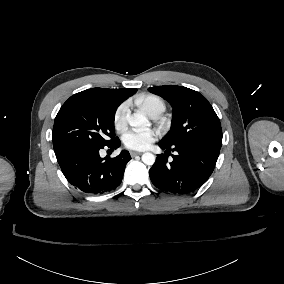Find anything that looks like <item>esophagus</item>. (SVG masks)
<instances>
[{"label":"esophagus","mask_w":284,"mask_h":284,"mask_svg":"<svg viewBox=\"0 0 284 284\" xmlns=\"http://www.w3.org/2000/svg\"><path fill=\"white\" fill-rule=\"evenodd\" d=\"M141 154H143V152H138V151H131V152H130V155H131L132 157H135V156L141 155Z\"/></svg>","instance_id":"esophagus-1"}]
</instances>
